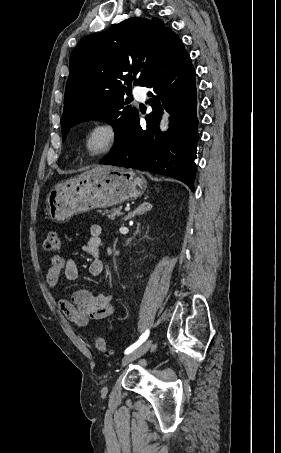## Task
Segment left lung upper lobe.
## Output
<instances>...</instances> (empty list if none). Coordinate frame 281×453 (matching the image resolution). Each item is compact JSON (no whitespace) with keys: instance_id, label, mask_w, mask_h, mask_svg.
Listing matches in <instances>:
<instances>
[{"instance_id":"left-lung-upper-lobe-1","label":"left lung upper lobe","mask_w":281,"mask_h":453,"mask_svg":"<svg viewBox=\"0 0 281 453\" xmlns=\"http://www.w3.org/2000/svg\"><path fill=\"white\" fill-rule=\"evenodd\" d=\"M176 36L158 18L133 17L81 39L70 57L62 141L72 126L94 119L114 126L118 145L138 117L136 108L126 106L124 92L133 81L146 85Z\"/></svg>"}]
</instances>
